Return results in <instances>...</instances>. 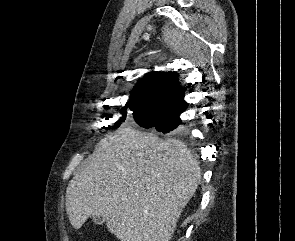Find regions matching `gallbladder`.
Here are the masks:
<instances>
[{
  "instance_id": "1",
  "label": "gallbladder",
  "mask_w": 295,
  "mask_h": 241,
  "mask_svg": "<svg viewBox=\"0 0 295 241\" xmlns=\"http://www.w3.org/2000/svg\"><path fill=\"white\" fill-rule=\"evenodd\" d=\"M93 221L97 225H102L105 222V218L103 216L93 217Z\"/></svg>"
}]
</instances>
